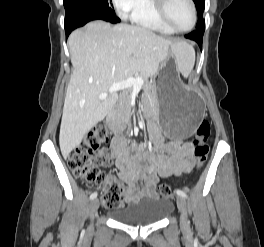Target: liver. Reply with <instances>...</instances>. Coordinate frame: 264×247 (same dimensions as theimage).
Returning <instances> with one entry per match:
<instances>
[{"mask_svg":"<svg viewBox=\"0 0 264 247\" xmlns=\"http://www.w3.org/2000/svg\"><path fill=\"white\" fill-rule=\"evenodd\" d=\"M177 43L149 29L128 24L112 26L93 21L71 33L68 45L73 71L68 84L60 127L61 153L67 158L84 136L113 108L112 84L139 73L152 77ZM108 93L106 99H99Z\"/></svg>","mask_w":264,"mask_h":247,"instance_id":"6515ba94","label":"liver"}]
</instances>
